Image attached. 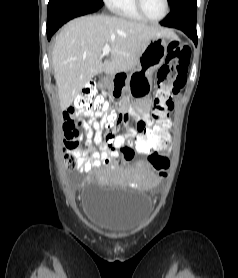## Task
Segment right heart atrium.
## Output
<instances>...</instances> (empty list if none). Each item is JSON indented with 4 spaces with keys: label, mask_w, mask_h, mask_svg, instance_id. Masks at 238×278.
<instances>
[{
    "label": "right heart atrium",
    "mask_w": 238,
    "mask_h": 278,
    "mask_svg": "<svg viewBox=\"0 0 238 278\" xmlns=\"http://www.w3.org/2000/svg\"><path fill=\"white\" fill-rule=\"evenodd\" d=\"M112 0H104V2L109 5L111 3Z\"/></svg>",
    "instance_id": "d8ad5b80"
}]
</instances>
